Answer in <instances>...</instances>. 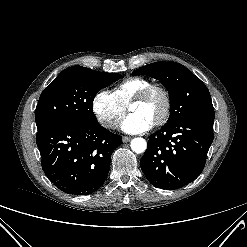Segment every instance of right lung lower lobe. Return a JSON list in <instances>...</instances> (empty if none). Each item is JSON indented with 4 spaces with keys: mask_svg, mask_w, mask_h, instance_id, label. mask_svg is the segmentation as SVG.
<instances>
[{
    "mask_svg": "<svg viewBox=\"0 0 247 247\" xmlns=\"http://www.w3.org/2000/svg\"><path fill=\"white\" fill-rule=\"evenodd\" d=\"M43 171L61 191L88 195L106 180L122 138L96 122L59 121L38 128Z\"/></svg>",
    "mask_w": 247,
    "mask_h": 247,
    "instance_id": "right-lung-lower-lobe-1",
    "label": "right lung lower lobe"
}]
</instances>
